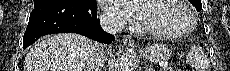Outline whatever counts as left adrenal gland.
<instances>
[{
	"mask_svg": "<svg viewBox=\"0 0 230 71\" xmlns=\"http://www.w3.org/2000/svg\"><path fill=\"white\" fill-rule=\"evenodd\" d=\"M146 71H151V68H149V66H147Z\"/></svg>",
	"mask_w": 230,
	"mask_h": 71,
	"instance_id": "a2214340",
	"label": "left adrenal gland"
}]
</instances>
